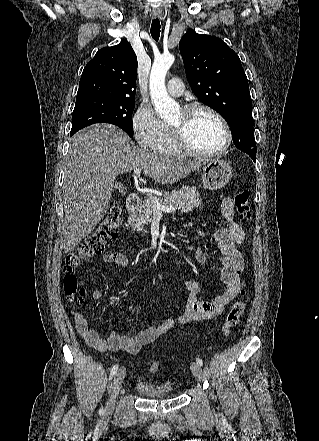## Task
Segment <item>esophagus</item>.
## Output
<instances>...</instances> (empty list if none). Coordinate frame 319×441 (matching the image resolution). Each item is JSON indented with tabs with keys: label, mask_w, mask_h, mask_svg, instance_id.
<instances>
[{
	"label": "esophagus",
	"mask_w": 319,
	"mask_h": 441,
	"mask_svg": "<svg viewBox=\"0 0 319 441\" xmlns=\"http://www.w3.org/2000/svg\"><path fill=\"white\" fill-rule=\"evenodd\" d=\"M151 14L153 18H161V12L157 8H154Z\"/></svg>",
	"instance_id": "1"
}]
</instances>
